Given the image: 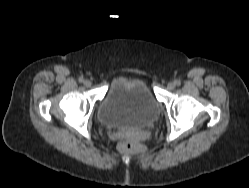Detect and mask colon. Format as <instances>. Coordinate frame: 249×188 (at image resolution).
Segmentation results:
<instances>
[{
  "mask_svg": "<svg viewBox=\"0 0 249 188\" xmlns=\"http://www.w3.org/2000/svg\"><path fill=\"white\" fill-rule=\"evenodd\" d=\"M138 145V138L134 135H128L119 142L118 147L122 152H132L137 149Z\"/></svg>",
  "mask_w": 249,
  "mask_h": 188,
  "instance_id": "1",
  "label": "colon"
}]
</instances>
